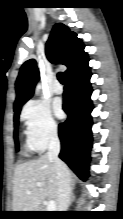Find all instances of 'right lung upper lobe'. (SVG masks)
I'll return each mask as SVG.
<instances>
[{
	"mask_svg": "<svg viewBox=\"0 0 123 219\" xmlns=\"http://www.w3.org/2000/svg\"><path fill=\"white\" fill-rule=\"evenodd\" d=\"M46 55L52 63L61 62L68 69L65 74L71 73L88 61L82 41L62 23L54 25L46 44ZM39 80V71L34 59L27 60L20 68L16 80V100L14 111L21 110L23 104L29 100Z\"/></svg>",
	"mask_w": 123,
	"mask_h": 219,
	"instance_id": "right-lung-upper-lobe-1",
	"label": "right lung upper lobe"
}]
</instances>
